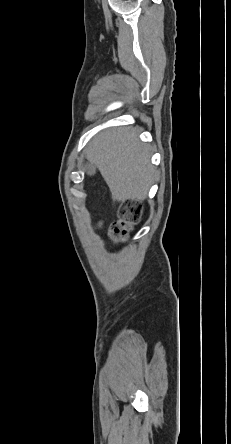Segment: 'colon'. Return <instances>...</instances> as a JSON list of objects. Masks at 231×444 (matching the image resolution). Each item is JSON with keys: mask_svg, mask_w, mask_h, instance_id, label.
Here are the masks:
<instances>
[{"mask_svg": "<svg viewBox=\"0 0 231 444\" xmlns=\"http://www.w3.org/2000/svg\"><path fill=\"white\" fill-rule=\"evenodd\" d=\"M140 214V208L137 204H131L122 215L119 222L110 229V237L114 242H120L126 239L129 229L134 225Z\"/></svg>", "mask_w": 231, "mask_h": 444, "instance_id": "5ec220e1", "label": "colon"}]
</instances>
